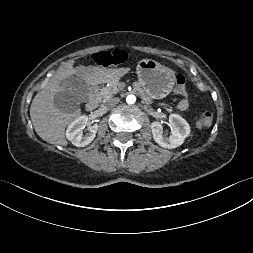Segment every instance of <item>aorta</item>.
Wrapping results in <instances>:
<instances>
[{
  "mask_svg": "<svg viewBox=\"0 0 253 253\" xmlns=\"http://www.w3.org/2000/svg\"><path fill=\"white\" fill-rule=\"evenodd\" d=\"M126 102L128 104H134L136 102V97L134 95H128L126 97Z\"/></svg>",
  "mask_w": 253,
  "mask_h": 253,
  "instance_id": "aorta-1",
  "label": "aorta"
}]
</instances>
